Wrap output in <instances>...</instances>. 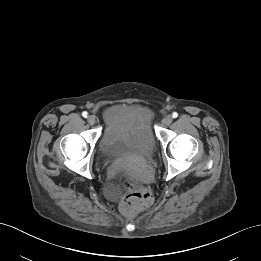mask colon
Returning a JSON list of instances; mask_svg holds the SVG:
<instances>
[{
  "label": "colon",
  "instance_id": "1",
  "mask_svg": "<svg viewBox=\"0 0 261 261\" xmlns=\"http://www.w3.org/2000/svg\"><path fill=\"white\" fill-rule=\"evenodd\" d=\"M115 180L126 191L120 203V209L123 213L133 214L149 206L152 201V195L146 187L136 183L132 177L125 172H119L115 176Z\"/></svg>",
  "mask_w": 261,
  "mask_h": 261
}]
</instances>
